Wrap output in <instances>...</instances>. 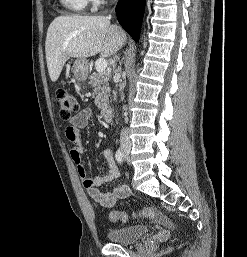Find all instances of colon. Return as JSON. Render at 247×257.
Instances as JSON below:
<instances>
[{"mask_svg":"<svg viewBox=\"0 0 247 257\" xmlns=\"http://www.w3.org/2000/svg\"><path fill=\"white\" fill-rule=\"evenodd\" d=\"M56 102L59 116L62 120L67 122L72 120L73 114L78 112L80 108L78 100L65 89L57 90ZM129 217L152 220L155 219V211L152 208H145L140 212L132 213L114 210L109 214V218L112 222H126Z\"/></svg>","mask_w":247,"mask_h":257,"instance_id":"colon-1","label":"colon"}]
</instances>
